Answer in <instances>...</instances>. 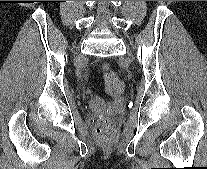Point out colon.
Masks as SVG:
<instances>
[{
    "mask_svg": "<svg viewBox=\"0 0 207 169\" xmlns=\"http://www.w3.org/2000/svg\"><path fill=\"white\" fill-rule=\"evenodd\" d=\"M103 80L106 93L114 99H120L125 91V85L119 76L107 65L103 68ZM116 129L113 122L109 119L100 121L96 126L97 138L109 143L115 138Z\"/></svg>",
    "mask_w": 207,
    "mask_h": 169,
    "instance_id": "5ec220e1",
    "label": "colon"
}]
</instances>
